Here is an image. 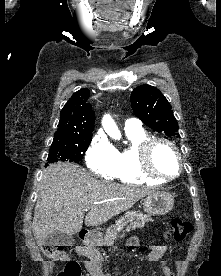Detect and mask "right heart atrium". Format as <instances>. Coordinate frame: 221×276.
<instances>
[{"instance_id": "1", "label": "right heart atrium", "mask_w": 221, "mask_h": 276, "mask_svg": "<svg viewBox=\"0 0 221 276\" xmlns=\"http://www.w3.org/2000/svg\"><path fill=\"white\" fill-rule=\"evenodd\" d=\"M86 163L95 174L111 179L117 168V150L103 136L97 135L86 152Z\"/></svg>"}]
</instances>
